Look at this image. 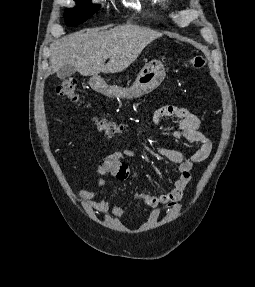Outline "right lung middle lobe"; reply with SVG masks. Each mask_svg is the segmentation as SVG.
<instances>
[{
	"label": "right lung middle lobe",
	"mask_w": 255,
	"mask_h": 287,
	"mask_svg": "<svg viewBox=\"0 0 255 287\" xmlns=\"http://www.w3.org/2000/svg\"><path fill=\"white\" fill-rule=\"evenodd\" d=\"M77 6L67 9L65 12V22L68 26H77L90 18L99 10V5L90 4L91 0H75Z\"/></svg>",
	"instance_id": "obj_1"
}]
</instances>
